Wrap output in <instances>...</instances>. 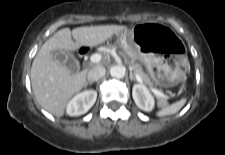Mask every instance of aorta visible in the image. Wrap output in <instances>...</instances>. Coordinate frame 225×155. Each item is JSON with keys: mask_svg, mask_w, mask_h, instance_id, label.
I'll return each instance as SVG.
<instances>
[{"mask_svg": "<svg viewBox=\"0 0 225 155\" xmlns=\"http://www.w3.org/2000/svg\"><path fill=\"white\" fill-rule=\"evenodd\" d=\"M125 73H126V69L120 65L113 66L110 69V75L113 78H117V79L124 78Z\"/></svg>", "mask_w": 225, "mask_h": 155, "instance_id": "1", "label": "aorta"}]
</instances>
